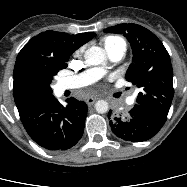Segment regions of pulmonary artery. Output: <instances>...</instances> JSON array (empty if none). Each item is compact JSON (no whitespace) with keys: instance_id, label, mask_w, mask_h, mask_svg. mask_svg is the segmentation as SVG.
<instances>
[{"instance_id":"1","label":"pulmonary artery","mask_w":187,"mask_h":187,"mask_svg":"<svg viewBox=\"0 0 187 187\" xmlns=\"http://www.w3.org/2000/svg\"><path fill=\"white\" fill-rule=\"evenodd\" d=\"M125 52L126 47H115L107 50V55L111 62H118L124 57ZM103 73L104 69L102 68L90 69L82 74L61 80L59 82V88L61 90H67L86 86L98 79ZM133 100L134 97H131L130 102H133Z\"/></svg>"}]
</instances>
